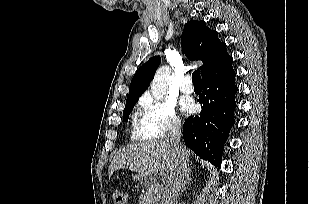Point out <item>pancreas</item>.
<instances>
[{
	"instance_id": "cf45deb5",
	"label": "pancreas",
	"mask_w": 309,
	"mask_h": 204,
	"mask_svg": "<svg viewBox=\"0 0 309 204\" xmlns=\"http://www.w3.org/2000/svg\"><path fill=\"white\" fill-rule=\"evenodd\" d=\"M163 190H164V186L160 184L159 182H156L152 184L151 187L141 195V200L143 202L148 201V202L159 204L158 201L162 197Z\"/></svg>"
}]
</instances>
